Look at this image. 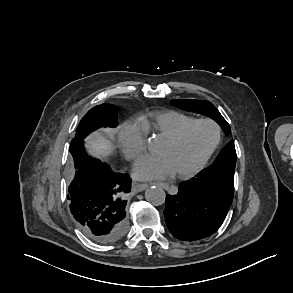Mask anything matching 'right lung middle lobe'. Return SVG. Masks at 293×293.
I'll use <instances>...</instances> for the list:
<instances>
[{
    "instance_id": "1",
    "label": "right lung middle lobe",
    "mask_w": 293,
    "mask_h": 293,
    "mask_svg": "<svg viewBox=\"0 0 293 293\" xmlns=\"http://www.w3.org/2000/svg\"><path fill=\"white\" fill-rule=\"evenodd\" d=\"M117 111L112 105L101 104L87 112L80 121L74 138L84 139L90 132L100 127H116Z\"/></svg>"
}]
</instances>
